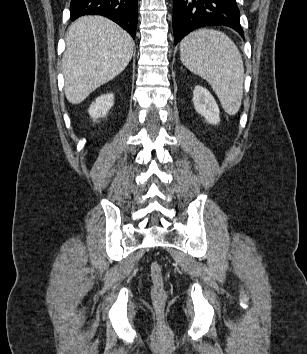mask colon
I'll list each match as a JSON object with an SVG mask.
<instances>
[{
	"instance_id": "colon-1",
	"label": "colon",
	"mask_w": 307,
	"mask_h": 354,
	"mask_svg": "<svg viewBox=\"0 0 307 354\" xmlns=\"http://www.w3.org/2000/svg\"><path fill=\"white\" fill-rule=\"evenodd\" d=\"M150 275L152 279L151 295L157 308H163L166 302V291L164 287V277L161 265L153 262L150 266Z\"/></svg>"
}]
</instances>
